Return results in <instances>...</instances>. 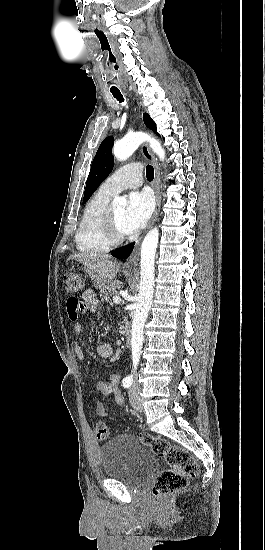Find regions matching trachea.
<instances>
[{
	"label": "trachea",
	"instance_id": "obj_1",
	"mask_svg": "<svg viewBox=\"0 0 265 550\" xmlns=\"http://www.w3.org/2000/svg\"><path fill=\"white\" fill-rule=\"evenodd\" d=\"M114 98H116L119 102H123V96L120 92H112ZM146 177L148 180H153L154 178V168L151 165H147L146 167Z\"/></svg>",
	"mask_w": 265,
	"mask_h": 550
}]
</instances>
